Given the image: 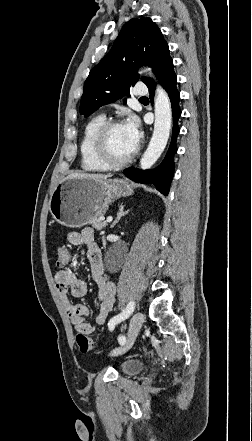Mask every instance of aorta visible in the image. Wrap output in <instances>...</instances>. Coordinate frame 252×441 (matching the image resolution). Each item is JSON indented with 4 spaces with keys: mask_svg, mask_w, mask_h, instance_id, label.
Here are the masks:
<instances>
[{
    "mask_svg": "<svg viewBox=\"0 0 252 441\" xmlns=\"http://www.w3.org/2000/svg\"><path fill=\"white\" fill-rule=\"evenodd\" d=\"M155 123L150 143L140 160L141 169H149L164 151L172 125L171 103L168 94L157 86L154 100Z\"/></svg>",
    "mask_w": 252,
    "mask_h": 441,
    "instance_id": "aorta-1",
    "label": "aorta"
}]
</instances>
